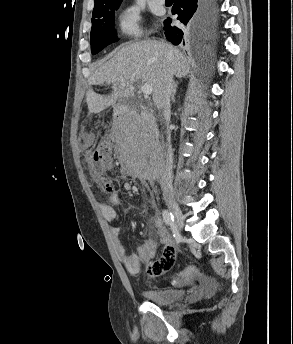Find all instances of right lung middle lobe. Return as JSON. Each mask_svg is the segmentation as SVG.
<instances>
[{"label":"right lung middle lobe","instance_id":"right-lung-middle-lobe-1","mask_svg":"<svg viewBox=\"0 0 293 344\" xmlns=\"http://www.w3.org/2000/svg\"><path fill=\"white\" fill-rule=\"evenodd\" d=\"M120 3L121 1L93 10L91 29L92 54L100 52L107 45L117 41L114 30V12L118 9Z\"/></svg>","mask_w":293,"mask_h":344}]
</instances>
